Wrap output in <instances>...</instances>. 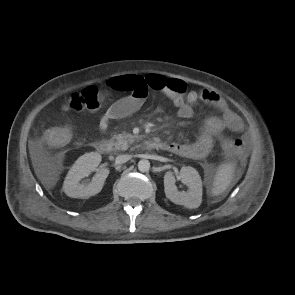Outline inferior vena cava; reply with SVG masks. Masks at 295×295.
Returning <instances> with one entry per match:
<instances>
[{
	"label": "inferior vena cava",
	"mask_w": 295,
	"mask_h": 295,
	"mask_svg": "<svg viewBox=\"0 0 295 295\" xmlns=\"http://www.w3.org/2000/svg\"><path fill=\"white\" fill-rule=\"evenodd\" d=\"M131 159V155H119L116 157L115 163L116 164H123Z\"/></svg>",
	"instance_id": "obj_1"
}]
</instances>
